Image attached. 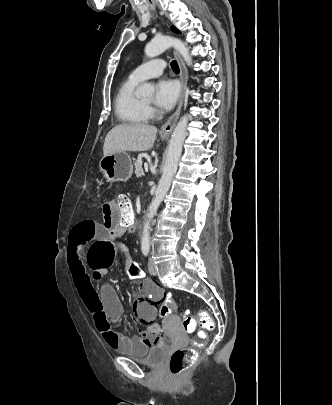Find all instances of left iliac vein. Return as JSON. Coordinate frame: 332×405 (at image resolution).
<instances>
[{"instance_id":"obj_1","label":"left iliac vein","mask_w":332,"mask_h":405,"mask_svg":"<svg viewBox=\"0 0 332 405\" xmlns=\"http://www.w3.org/2000/svg\"><path fill=\"white\" fill-rule=\"evenodd\" d=\"M148 270H149L150 274H152V275H156V274H157V268H156V266H155V264H154L153 258H150V259H149Z\"/></svg>"}]
</instances>
